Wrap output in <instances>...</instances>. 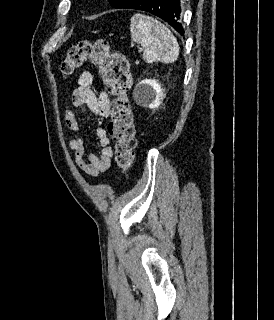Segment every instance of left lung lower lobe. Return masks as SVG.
I'll use <instances>...</instances> for the list:
<instances>
[{"label":"left lung lower lobe","instance_id":"0a47b994","mask_svg":"<svg viewBox=\"0 0 274 320\" xmlns=\"http://www.w3.org/2000/svg\"><path fill=\"white\" fill-rule=\"evenodd\" d=\"M123 8L150 12L168 22L176 31L184 34L180 22V0H131Z\"/></svg>","mask_w":274,"mask_h":320}]
</instances>
